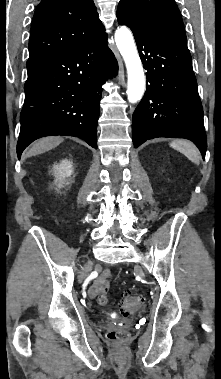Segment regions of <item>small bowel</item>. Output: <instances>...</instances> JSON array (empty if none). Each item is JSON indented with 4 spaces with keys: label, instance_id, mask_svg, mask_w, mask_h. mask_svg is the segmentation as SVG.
<instances>
[{
    "label": "small bowel",
    "instance_id": "c3829d8e",
    "mask_svg": "<svg viewBox=\"0 0 221 379\" xmlns=\"http://www.w3.org/2000/svg\"><path fill=\"white\" fill-rule=\"evenodd\" d=\"M103 276L105 277H109L110 276V271L106 270L104 273H103ZM100 293V285H99V282H95L89 289V295L91 298H95L98 296V294Z\"/></svg>",
    "mask_w": 221,
    "mask_h": 379
}]
</instances>
